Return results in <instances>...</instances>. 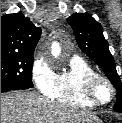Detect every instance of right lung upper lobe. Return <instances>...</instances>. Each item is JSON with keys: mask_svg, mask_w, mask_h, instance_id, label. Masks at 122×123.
<instances>
[{"mask_svg": "<svg viewBox=\"0 0 122 123\" xmlns=\"http://www.w3.org/2000/svg\"><path fill=\"white\" fill-rule=\"evenodd\" d=\"M41 29L21 13L1 17V53L33 55Z\"/></svg>", "mask_w": 122, "mask_h": 123, "instance_id": "1", "label": "right lung upper lobe"}]
</instances>
